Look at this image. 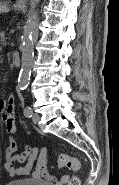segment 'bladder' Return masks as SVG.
I'll use <instances>...</instances> for the list:
<instances>
[{"mask_svg":"<svg viewBox=\"0 0 119 185\" xmlns=\"http://www.w3.org/2000/svg\"><path fill=\"white\" fill-rule=\"evenodd\" d=\"M6 185H44L35 179H19L6 183Z\"/></svg>","mask_w":119,"mask_h":185,"instance_id":"obj_1","label":"bladder"}]
</instances>
